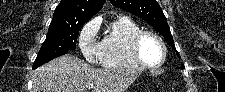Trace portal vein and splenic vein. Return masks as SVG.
Wrapping results in <instances>:
<instances>
[{"instance_id": "obj_1", "label": "portal vein and splenic vein", "mask_w": 225, "mask_h": 92, "mask_svg": "<svg viewBox=\"0 0 225 92\" xmlns=\"http://www.w3.org/2000/svg\"><path fill=\"white\" fill-rule=\"evenodd\" d=\"M91 88H94V85L93 84H89L88 85V89H91Z\"/></svg>"}]
</instances>
